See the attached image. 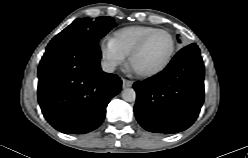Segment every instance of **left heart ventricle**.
<instances>
[{
  "mask_svg": "<svg viewBox=\"0 0 248 158\" xmlns=\"http://www.w3.org/2000/svg\"><path fill=\"white\" fill-rule=\"evenodd\" d=\"M171 47L170 38L163 33L154 34L132 61L136 71H146L158 67L167 57Z\"/></svg>",
  "mask_w": 248,
  "mask_h": 158,
  "instance_id": "1",
  "label": "left heart ventricle"
}]
</instances>
